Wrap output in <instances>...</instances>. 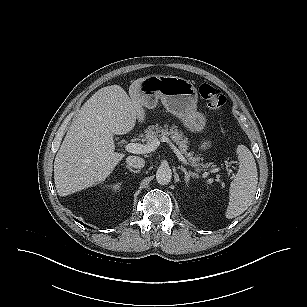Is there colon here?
<instances>
[{"label": "colon", "mask_w": 307, "mask_h": 307, "mask_svg": "<svg viewBox=\"0 0 307 307\" xmlns=\"http://www.w3.org/2000/svg\"><path fill=\"white\" fill-rule=\"evenodd\" d=\"M200 96L207 101L208 107L219 112L226 104V97L215 87L209 84H202L199 88Z\"/></svg>", "instance_id": "obj_1"}]
</instances>
